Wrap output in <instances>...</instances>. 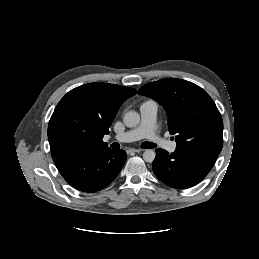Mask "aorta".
<instances>
[{
	"instance_id": "obj_1",
	"label": "aorta",
	"mask_w": 259,
	"mask_h": 259,
	"mask_svg": "<svg viewBox=\"0 0 259 259\" xmlns=\"http://www.w3.org/2000/svg\"><path fill=\"white\" fill-rule=\"evenodd\" d=\"M123 122L127 127H136L140 122V115L136 111H129L124 115ZM156 153L152 149H146L143 153V159L146 162H153Z\"/></svg>"
}]
</instances>
